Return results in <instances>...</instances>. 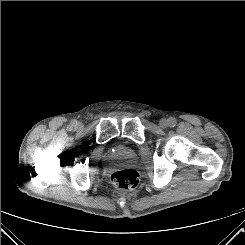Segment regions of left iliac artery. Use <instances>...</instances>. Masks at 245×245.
Returning a JSON list of instances; mask_svg holds the SVG:
<instances>
[{
  "label": "left iliac artery",
  "instance_id": "44dca946",
  "mask_svg": "<svg viewBox=\"0 0 245 245\" xmlns=\"http://www.w3.org/2000/svg\"><path fill=\"white\" fill-rule=\"evenodd\" d=\"M177 121L175 118H169V125L171 127H174L176 125Z\"/></svg>",
  "mask_w": 245,
  "mask_h": 245
}]
</instances>
